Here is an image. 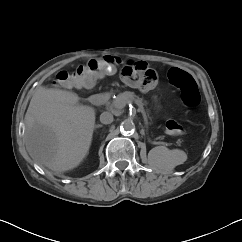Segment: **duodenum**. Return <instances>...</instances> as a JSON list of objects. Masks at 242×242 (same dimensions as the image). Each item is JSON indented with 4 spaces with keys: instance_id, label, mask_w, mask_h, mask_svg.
Instances as JSON below:
<instances>
[{
    "instance_id": "1",
    "label": "duodenum",
    "mask_w": 242,
    "mask_h": 242,
    "mask_svg": "<svg viewBox=\"0 0 242 242\" xmlns=\"http://www.w3.org/2000/svg\"><path fill=\"white\" fill-rule=\"evenodd\" d=\"M107 96L105 94H93L90 96L89 100L94 105H100L106 100Z\"/></svg>"
}]
</instances>
